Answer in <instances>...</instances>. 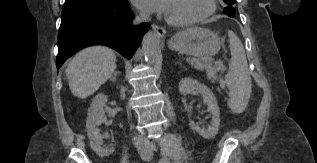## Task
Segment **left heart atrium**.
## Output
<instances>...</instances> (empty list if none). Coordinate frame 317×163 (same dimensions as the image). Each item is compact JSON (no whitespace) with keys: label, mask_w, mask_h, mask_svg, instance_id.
<instances>
[{"label":"left heart atrium","mask_w":317,"mask_h":163,"mask_svg":"<svg viewBox=\"0 0 317 163\" xmlns=\"http://www.w3.org/2000/svg\"><path fill=\"white\" fill-rule=\"evenodd\" d=\"M135 4L145 10L158 14H166L170 0H134Z\"/></svg>","instance_id":"left-heart-atrium-1"}]
</instances>
